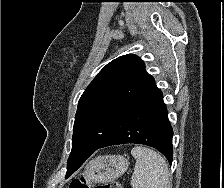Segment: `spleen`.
<instances>
[{
	"mask_svg": "<svg viewBox=\"0 0 224 188\" xmlns=\"http://www.w3.org/2000/svg\"><path fill=\"white\" fill-rule=\"evenodd\" d=\"M131 154L136 159L133 188H171L169 169L161 155L143 146L132 148Z\"/></svg>",
	"mask_w": 224,
	"mask_h": 188,
	"instance_id": "obj_1",
	"label": "spleen"
}]
</instances>
